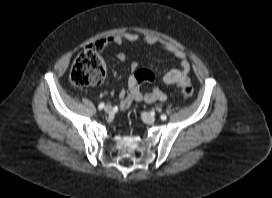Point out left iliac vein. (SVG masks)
<instances>
[{"mask_svg": "<svg viewBox=\"0 0 272 198\" xmlns=\"http://www.w3.org/2000/svg\"><path fill=\"white\" fill-rule=\"evenodd\" d=\"M142 118L143 120L148 123V124H153L155 122V117L150 115L149 113L147 112H143L142 113Z\"/></svg>", "mask_w": 272, "mask_h": 198, "instance_id": "obj_1", "label": "left iliac vein"}]
</instances>
